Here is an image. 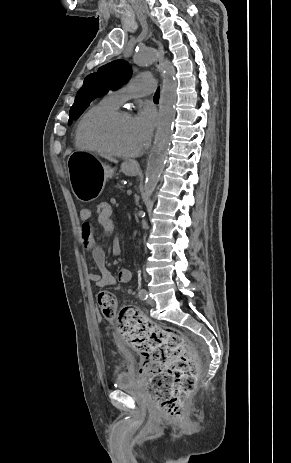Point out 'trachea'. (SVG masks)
Segmentation results:
<instances>
[{"label": "trachea", "mask_w": 291, "mask_h": 463, "mask_svg": "<svg viewBox=\"0 0 291 463\" xmlns=\"http://www.w3.org/2000/svg\"><path fill=\"white\" fill-rule=\"evenodd\" d=\"M159 96H160V90L158 89L154 95V100H159Z\"/></svg>", "instance_id": "1"}]
</instances>
